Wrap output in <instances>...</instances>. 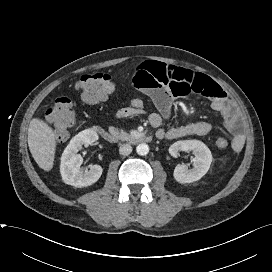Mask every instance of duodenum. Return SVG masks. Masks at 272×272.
I'll use <instances>...</instances> for the list:
<instances>
[{
  "label": "duodenum",
  "mask_w": 272,
  "mask_h": 272,
  "mask_svg": "<svg viewBox=\"0 0 272 272\" xmlns=\"http://www.w3.org/2000/svg\"><path fill=\"white\" fill-rule=\"evenodd\" d=\"M98 135H100L104 140L114 143L118 141V136L109 131L108 129L101 126H94L92 128ZM129 143L138 144V143H148L151 142L152 137L150 135H137L132 136L126 139Z\"/></svg>",
  "instance_id": "obj_1"
}]
</instances>
